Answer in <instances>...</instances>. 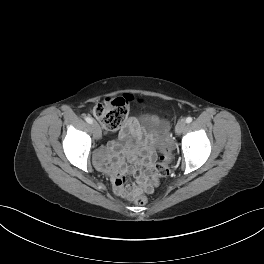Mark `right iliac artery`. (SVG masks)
<instances>
[{"mask_svg": "<svg viewBox=\"0 0 264 264\" xmlns=\"http://www.w3.org/2000/svg\"><path fill=\"white\" fill-rule=\"evenodd\" d=\"M85 120H86V122L89 123V124H92V123H93V119L90 118V117H86Z\"/></svg>", "mask_w": 264, "mask_h": 264, "instance_id": "right-iliac-artery-1", "label": "right iliac artery"}]
</instances>
